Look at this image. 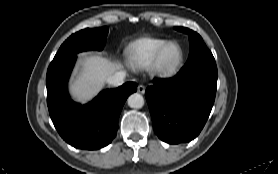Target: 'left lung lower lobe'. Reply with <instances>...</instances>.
<instances>
[{
  "instance_id": "left-lung-lower-lobe-1",
  "label": "left lung lower lobe",
  "mask_w": 278,
  "mask_h": 174,
  "mask_svg": "<svg viewBox=\"0 0 278 174\" xmlns=\"http://www.w3.org/2000/svg\"><path fill=\"white\" fill-rule=\"evenodd\" d=\"M216 86L217 72L205 68L154 80L145 97L157 136L169 144L193 140L209 117Z\"/></svg>"
}]
</instances>
